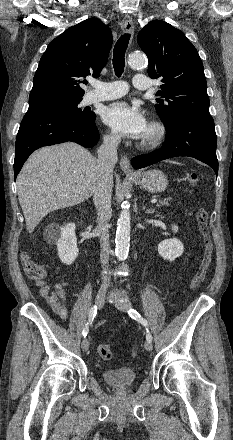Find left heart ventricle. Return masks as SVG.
I'll use <instances>...</instances> for the list:
<instances>
[{"mask_svg":"<svg viewBox=\"0 0 233 440\" xmlns=\"http://www.w3.org/2000/svg\"><path fill=\"white\" fill-rule=\"evenodd\" d=\"M148 132H149V129L147 128V130H146V132H145V134H144V135L148 134Z\"/></svg>","mask_w":233,"mask_h":440,"instance_id":"left-heart-ventricle-1","label":"left heart ventricle"}]
</instances>
